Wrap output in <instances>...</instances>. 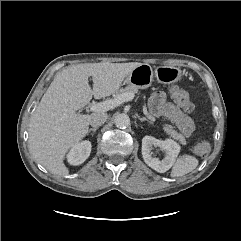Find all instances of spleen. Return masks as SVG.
<instances>
[{
	"mask_svg": "<svg viewBox=\"0 0 241 241\" xmlns=\"http://www.w3.org/2000/svg\"><path fill=\"white\" fill-rule=\"evenodd\" d=\"M198 159L191 155H183L177 159L171 170V177H181L192 172L198 166Z\"/></svg>",
	"mask_w": 241,
	"mask_h": 241,
	"instance_id": "spleen-1",
	"label": "spleen"
}]
</instances>
